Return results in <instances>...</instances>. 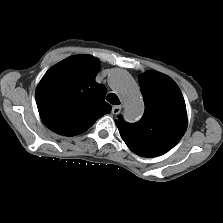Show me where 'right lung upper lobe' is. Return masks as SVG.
<instances>
[{
	"label": "right lung upper lobe",
	"instance_id": "1",
	"mask_svg": "<svg viewBox=\"0 0 223 223\" xmlns=\"http://www.w3.org/2000/svg\"><path fill=\"white\" fill-rule=\"evenodd\" d=\"M101 62L90 55L71 56L50 68L36 90L43 123L52 131L74 136L91 127L111 106L107 90L95 77Z\"/></svg>",
	"mask_w": 223,
	"mask_h": 223
}]
</instances>
